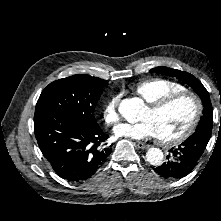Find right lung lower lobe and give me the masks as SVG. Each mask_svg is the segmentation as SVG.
I'll use <instances>...</instances> for the list:
<instances>
[{"instance_id":"1","label":"right lung lower lobe","mask_w":221,"mask_h":221,"mask_svg":"<svg viewBox=\"0 0 221 221\" xmlns=\"http://www.w3.org/2000/svg\"><path fill=\"white\" fill-rule=\"evenodd\" d=\"M34 132L43 156L68 181H83L103 165L111 146L99 125L91 126L46 107H36Z\"/></svg>"}]
</instances>
